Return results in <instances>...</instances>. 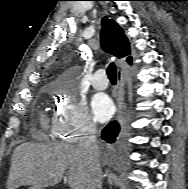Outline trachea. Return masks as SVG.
I'll use <instances>...</instances> for the list:
<instances>
[{
    "label": "trachea",
    "mask_w": 188,
    "mask_h": 189,
    "mask_svg": "<svg viewBox=\"0 0 188 189\" xmlns=\"http://www.w3.org/2000/svg\"><path fill=\"white\" fill-rule=\"evenodd\" d=\"M107 75L109 80L112 83H116L117 81V72H116V66L114 63H111L107 68Z\"/></svg>",
    "instance_id": "obj_1"
}]
</instances>
